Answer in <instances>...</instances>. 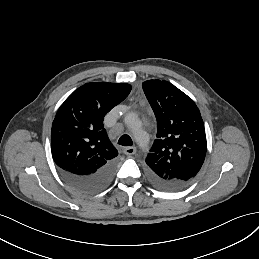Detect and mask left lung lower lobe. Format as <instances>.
<instances>
[{
  "label": "left lung lower lobe",
  "mask_w": 259,
  "mask_h": 259,
  "mask_svg": "<svg viewBox=\"0 0 259 259\" xmlns=\"http://www.w3.org/2000/svg\"><path fill=\"white\" fill-rule=\"evenodd\" d=\"M148 178L153 185H155L156 187H158L162 190H167V191L179 190L187 185V183L161 181V180L151 176L149 173H148Z\"/></svg>",
  "instance_id": "1"
}]
</instances>
